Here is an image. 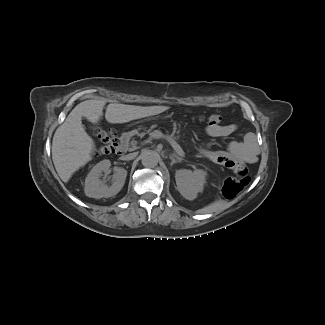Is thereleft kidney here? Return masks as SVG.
I'll return each mask as SVG.
<instances>
[{
    "label": "left kidney",
    "instance_id": "5707ae66",
    "mask_svg": "<svg viewBox=\"0 0 325 325\" xmlns=\"http://www.w3.org/2000/svg\"><path fill=\"white\" fill-rule=\"evenodd\" d=\"M206 178L207 172L202 169H180L175 174L177 190L185 199L194 200L203 191Z\"/></svg>",
    "mask_w": 325,
    "mask_h": 325
}]
</instances>
